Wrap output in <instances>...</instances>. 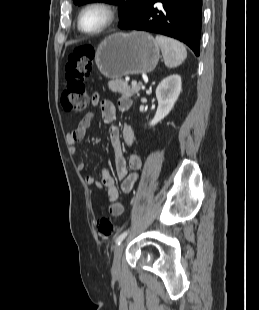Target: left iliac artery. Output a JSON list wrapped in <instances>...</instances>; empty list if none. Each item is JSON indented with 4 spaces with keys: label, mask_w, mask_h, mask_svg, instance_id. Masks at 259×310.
Wrapping results in <instances>:
<instances>
[{
    "label": "left iliac artery",
    "mask_w": 259,
    "mask_h": 310,
    "mask_svg": "<svg viewBox=\"0 0 259 310\" xmlns=\"http://www.w3.org/2000/svg\"><path fill=\"white\" fill-rule=\"evenodd\" d=\"M127 231L123 232L122 234H120L117 239H116V244H120L124 239L125 237L127 236Z\"/></svg>",
    "instance_id": "left-iliac-artery-1"
}]
</instances>
